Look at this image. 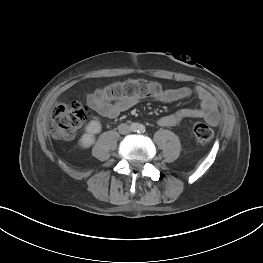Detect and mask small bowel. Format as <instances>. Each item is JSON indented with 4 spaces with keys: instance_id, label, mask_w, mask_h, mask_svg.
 Returning <instances> with one entry per match:
<instances>
[{
    "instance_id": "small-bowel-1",
    "label": "small bowel",
    "mask_w": 263,
    "mask_h": 263,
    "mask_svg": "<svg viewBox=\"0 0 263 263\" xmlns=\"http://www.w3.org/2000/svg\"><path fill=\"white\" fill-rule=\"evenodd\" d=\"M193 94L196 95L200 101L198 108H185L175 113L161 116L157 120L158 125L162 127H172L187 118H201L213 126L217 125L219 122L217 103L212 94L202 86L167 89L157 96V99L170 103L188 98ZM87 101L91 108L98 114L113 119L136 104L137 99L124 98L112 102V99H109L101 92H95L87 96Z\"/></svg>"
}]
</instances>
